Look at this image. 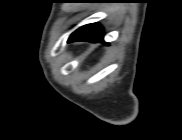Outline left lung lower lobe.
I'll use <instances>...</instances> for the list:
<instances>
[{
  "label": "left lung lower lobe",
  "instance_id": "left-lung-lower-lobe-1",
  "mask_svg": "<svg viewBox=\"0 0 182 140\" xmlns=\"http://www.w3.org/2000/svg\"><path fill=\"white\" fill-rule=\"evenodd\" d=\"M103 36L104 33L102 27L99 24H87L73 32L70 35L68 42L88 41L95 43L98 41H103Z\"/></svg>",
  "mask_w": 182,
  "mask_h": 140
}]
</instances>
